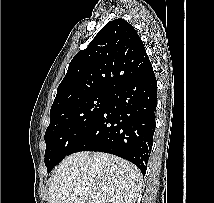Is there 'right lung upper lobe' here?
I'll return each mask as SVG.
<instances>
[{
  "instance_id": "obj_1",
  "label": "right lung upper lobe",
  "mask_w": 214,
  "mask_h": 203,
  "mask_svg": "<svg viewBox=\"0 0 214 203\" xmlns=\"http://www.w3.org/2000/svg\"><path fill=\"white\" fill-rule=\"evenodd\" d=\"M152 68L143 42L124 19L107 23L69 64L51 110L94 93H110Z\"/></svg>"
}]
</instances>
